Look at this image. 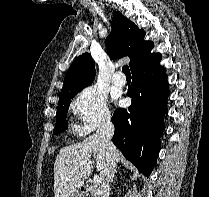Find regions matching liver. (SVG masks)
Listing matches in <instances>:
<instances>
[{
	"mask_svg": "<svg viewBox=\"0 0 209 197\" xmlns=\"http://www.w3.org/2000/svg\"><path fill=\"white\" fill-rule=\"evenodd\" d=\"M94 158V161L91 158ZM116 162L121 161V153L115 147ZM106 165V148L97 134H92L82 142L62 148L54 163V197H69L80 188L93 171Z\"/></svg>",
	"mask_w": 209,
	"mask_h": 197,
	"instance_id": "obj_1",
	"label": "liver"
}]
</instances>
